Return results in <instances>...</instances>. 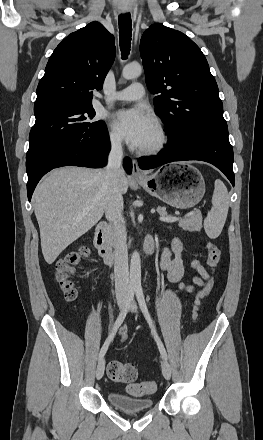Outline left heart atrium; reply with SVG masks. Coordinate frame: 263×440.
Here are the masks:
<instances>
[{
  "label": "left heart atrium",
  "mask_w": 263,
  "mask_h": 440,
  "mask_svg": "<svg viewBox=\"0 0 263 440\" xmlns=\"http://www.w3.org/2000/svg\"><path fill=\"white\" fill-rule=\"evenodd\" d=\"M151 125V117L139 108L123 109L114 115L116 130L133 146L140 145Z\"/></svg>",
  "instance_id": "left-heart-atrium-1"
}]
</instances>
